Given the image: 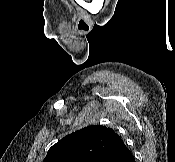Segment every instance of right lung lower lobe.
Segmentation results:
<instances>
[{
    "mask_svg": "<svg viewBox=\"0 0 175 162\" xmlns=\"http://www.w3.org/2000/svg\"><path fill=\"white\" fill-rule=\"evenodd\" d=\"M115 162H135V158H134V156L132 155L131 152H128L127 154H125L124 156L120 157Z\"/></svg>",
    "mask_w": 175,
    "mask_h": 162,
    "instance_id": "98d812e1",
    "label": "right lung lower lobe"
}]
</instances>
